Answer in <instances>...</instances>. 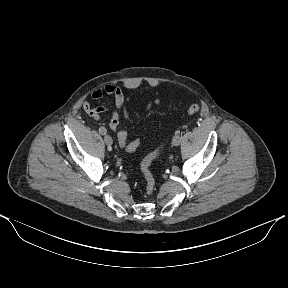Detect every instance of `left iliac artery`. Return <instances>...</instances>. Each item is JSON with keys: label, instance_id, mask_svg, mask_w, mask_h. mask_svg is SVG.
<instances>
[{"label": "left iliac artery", "instance_id": "left-iliac-artery-1", "mask_svg": "<svg viewBox=\"0 0 288 288\" xmlns=\"http://www.w3.org/2000/svg\"><path fill=\"white\" fill-rule=\"evenodd\" d=\"M184 134V131L182 129H176L175 130V135L176 136H182Z\"/></svg>", "mask_w": 288, "mask_h": 288}]
</instances>
